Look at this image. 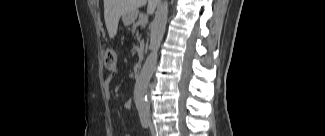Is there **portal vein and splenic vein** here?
<instances>
[{
  "instance_id": "portal-vein-and-splenic-vein-1",
  "label": "portal vein and splenic vein",
  "mask_w": 325,
  "mask_h": 136,
  "mask_svg": "<svg viewBox=\"0 0 325 136\" xmlns=\"http://www.w3.org/2000/svg\"><path fill=\"white\" fill-rule=\"evenodd\" d=\"M148 21L147 16L141 18V24H146Z\"/></svg>"
}]
</instances>
